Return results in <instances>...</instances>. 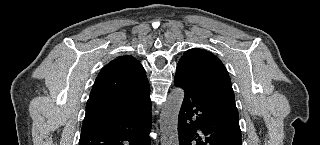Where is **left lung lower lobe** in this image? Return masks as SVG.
I'll list each match as a JSON object with an SVG mask.
<instances>
[{
	"label": "left lung lower lobe",
	"mask_w": 320,
	"mask_h": 145,
	"mask_svg": "<svg viewBox=\"0 0 320 145\" xmlns=\"http://www.w3.org/2000/svg\"><path fill=\"white\" fill-rule=\"evenodd\" d=\"M174 84L185 93L178 117L179 145H242L239 121L218 106V82L178 63Z\"/></svg>",
	"instance_id": "obj_1"
}]
</instances>
